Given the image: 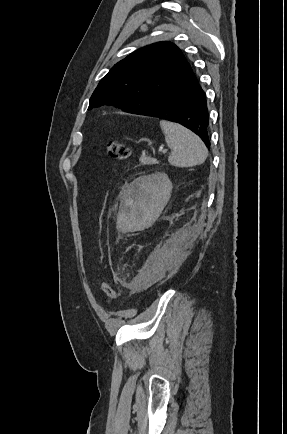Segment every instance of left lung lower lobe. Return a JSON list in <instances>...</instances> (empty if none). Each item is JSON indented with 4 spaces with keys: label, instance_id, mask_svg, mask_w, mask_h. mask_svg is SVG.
Wrapping results in <instances>:
<instances>
[{
    "label": "left lung lower lobe",
    "instance_id": "left-lung-lower-lobe-1",
    "mask_svg": "<svg viewBox=\"0 0 287 434\" xmlns=\"http://www.w3.org/2000/svg\"><path fill=\"white\" fill-rule=\"evenodd\" d=\"M137 114L177 122L197 134L210 147L206 95L193 71L155 105Z\"/></svg>",
    "mask_w": 287,
    "mask_h": 434
}]
</instances>
